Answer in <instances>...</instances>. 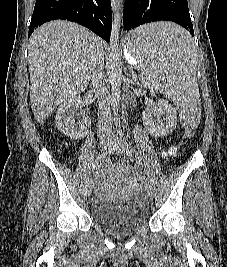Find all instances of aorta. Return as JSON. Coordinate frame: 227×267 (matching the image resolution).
<instances>
[{
    "instance_id": "1",
    "label": "aorta",
    "mask_w": 227,
    "mask_h": 267,
    "mask_svg": "<svg viewBox=\"0 0 227 267\" xmlns=\"http://www.w3.org/2000/svg\"><path fill=\"white\" fill-rule=\"evenodd\" d=\"M123 19L122 0H118L114 9L110 36V83H111V101L117 107L120 101L122 70L119 63V32Z\"/></svg>"
}]
</instances>
